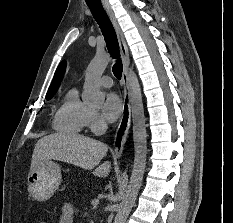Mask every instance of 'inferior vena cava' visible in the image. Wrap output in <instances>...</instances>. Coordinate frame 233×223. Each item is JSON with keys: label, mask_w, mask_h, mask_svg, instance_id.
<instances>
[{"label": "inferior vena cava", "mask_w": 233, "mask_h": 223, "mask_svg": "<svg viewBox=\"0 0 233 223\" xmlns=\"http://www.w3.org/2000/svg\"><path fill=\"white\" fill-rule=\"evenodd\" d=\"M101 123H102L104 129H107V123H106V121H104V119H102Z\"/></svg>", "instance_id": "602c4592"}]
</instances>
